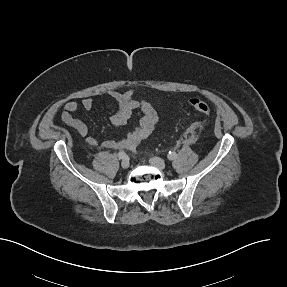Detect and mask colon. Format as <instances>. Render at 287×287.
<instances>
[{
  "mask_svg": "<svg viewBox=\"0 0 287 287\" xmlns=\"http://www.w3.org/2000/svg\"><path fill=\"white\" fill-rule=\"evenodd\" d=\"M188 103L192 109L199 114L208 115L211 112V106L204 99L191 98Z\"/></svg>",
  "mask_w": 287,
  "mask_h": 287,
  "instance_id": "5ec220e1",
  "label": "colon"
}]
</instances>
